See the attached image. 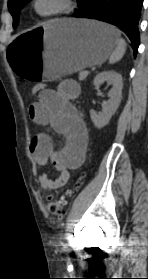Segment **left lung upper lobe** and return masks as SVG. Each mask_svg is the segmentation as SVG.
Returning <instances> with one entry per match:
<instances>
[{"label": "left lung upper lobe", "mask_w": 148, "mask_h": 279, "mask_svg": "<svg viewBox=\"0 0 148 279\" xmlns=\"http://www.w3.org/2000/svg\"><path fill=\"white\" fill-rule=\"evenodd\" d=\"M31 0H9L8 2V8L10 13L13 16V26L16 27L17 26V22H18V14L20 9L26 5V3H28ZM78 2L80 0H77Z\"/></svg>", "instance_id": "1"}]
</instances>
